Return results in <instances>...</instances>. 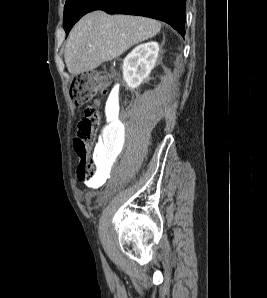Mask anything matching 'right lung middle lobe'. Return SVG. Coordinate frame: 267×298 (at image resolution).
<instances>
[{
  "label": "right lung middle lobe",
  "instance_id": "dd1d6c3e",
  "mask_svg": "<svg viewBox=\"0 0 267 298\" xmlns=\"http://www.w3.org/2000/svg\"><path fill=\"white\" fill-rule=\"evenodd\" d=\"M98 0H66L64 8V29L69 33L72 26L91 8Z\"/></svg>",
  "mask_w": 267,
  "mask_h": 298
}]
</instances>
